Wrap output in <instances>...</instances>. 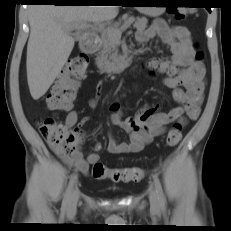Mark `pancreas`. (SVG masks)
<instances>
[{
	"mask_svg": "<svg viewBox=\"0 0 231 231\" xmlns=\"http://www.w3.org/2000/svg\"><path fill=\"white\" fill-rule=\"evenodd\" d=\"M128 18V14L123 16V20ZM129 19H134L133 17H129ZM121 20L119 22H115L114 24L108 26L104 31L101 32L102 37V49L98 52L96 58V64L98 68L102 71H108L115 68L118 63L117 51H116V39L113 38L109 32L110 29H119L121 25ZM148 20L145 17L139 18L137 17L134 23V27L137 30H145L147 27Z\"/></svg>",
	"mask_w": 231,
	"mask_h": 231,
	"instance_id": "pancreas-1",
	"label": "pancreas"
}]
</instances>
